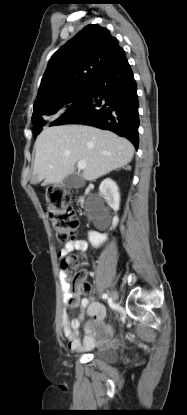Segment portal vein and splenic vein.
I'll return each mask as SVG.
<instances>
[{
  "label": "portal vein and splenic vein",
  "mask_w": 187,
  "mask_h": 415,
  "mask_svg": "<svg viewBox=\"0 0 187 415\" xmlns=\"http://www.w3.org/2000/svg\"><path fill=\"white\" fill-rule=\"evenodd\" d=\"M77 166H78V169H85L86 162L85 161H79Z\"/></svg>",
  "instance_id": "1"
}]
</instances>
